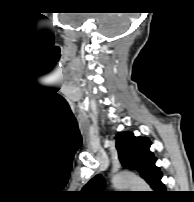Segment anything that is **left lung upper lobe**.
<instances>
[{
    "label": "left lung upper lobe",
    "instance_id": "5c2ea615",
    "mask_svg": "<svg viewBox=\"0 0 194 202\" xmlns=\"http://www.w3.org/2000/svg\"><path fill=\"white\" fill-rule=\"evenodd\" d=\"M116 148L123 166L137 170L150 185L160 169L155 166L156 159L149 150L151 142L148 138L135 137L131 132L119 133L116 137ZM105 182L102 175L92 178L82 189L90 196L104 193Z\"/></svg>",
    "mask_w": 194,
    "mask_h": 202
}]
</instances>
